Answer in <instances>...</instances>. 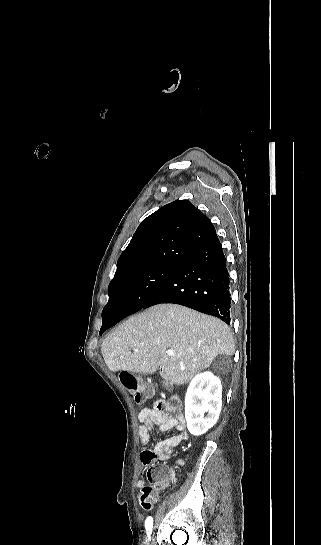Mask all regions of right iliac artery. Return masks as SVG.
I'll return each instance as SVG.
<instances>
[{
    "label": "right iliac artery",
    "instance_id": "1",
    "mask_svg": "<svg viewBox=\"0 0 321 545\" xmlns=\"http://www.w3.org/2000/svg\"><path fill=\"white\" fill-rule=\"evenodd\" d=\"M152 527H153V518L148 517L145 521V529H146V534L148 536V539H150V536L152 533Z\"/></svg>",
    "mask_w": 321,
    "mask_h": 545
}]
</instances>
